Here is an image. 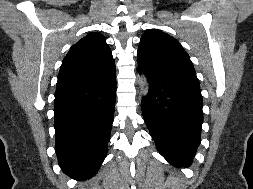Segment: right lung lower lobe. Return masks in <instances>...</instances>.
<instances>
[{"instance_id":"1","label":"right lung lower lobe","mask_w":253,"mask_h":189,"mask_svg":"<svg viewBox=\"0 0 253 189\" xmlns=\"http://www.w3.org/2000/svg\"><path fill=\"white\" fill-rule=\"evenodd\" d=\"M115 72L90 83H57L56 154L66 174L91 178L107 155L116 99Z\"/></svg>"}]
</instances>
